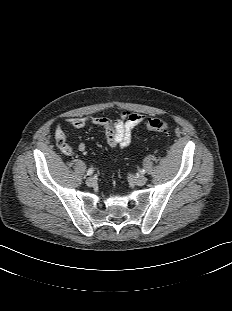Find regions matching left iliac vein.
<instances>
[{"label": "left iliac vein", "mask_w": 232, "mask_h": 311, "mask_svg": "<svg viewBox=\"0 0 232 311\" xmlns=\"http://www.w3.org/2000/svg\"><path fill=\"white\" fill-rule=\"evenodd\" d=\"M132 178L134 182L139 186H143L147 182V178L145 176H132Z\"/></svg>", "instance_id": "4c4485c4"}]
</instances>
